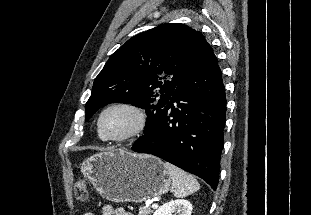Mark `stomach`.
Wrapping results in <instances>:
<instances>
[{
  "instance_id": "stomach-1",
  "label": "stomach",
  "mask_w": 311,
  "mask_h": 215,
  "mask_svg": "<svg viewBox=\"0 0 311 215\" xmlns=\"http://www.w3.org/2000/svg\"><path fill=\"white\" fill-rule=\"evenodd\" d=\"M99 194L121 203H141L168 192L171 178L157 157L112 149L95 154L80 166Z\"/></svg>"
}]
</instances>
